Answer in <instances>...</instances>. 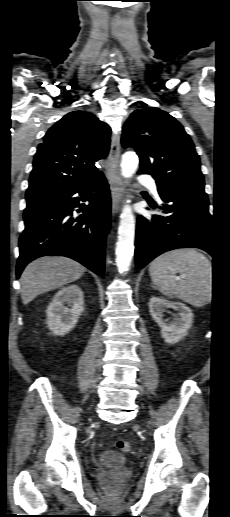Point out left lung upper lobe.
I'll return each mask as SVG.
<instances>
[{"mask_svg": "<svg viewBox=\"0 0 230 517\" xmlns=\"http://www.w3.org/2000/svg\"><path fill=\"white\" fill-rule=\"evenodd\" d=\"M122 146L133 147L138 173L151 174L173 190L204 191L200 159L182 125L155 107L134 111L123 127Z\"/></svg>", "mask_w": 230, "mask_h": 517, "instance_id": "left-lung-upper-lobe-1", "label": "left lung upper lobe"}]
</instances>
